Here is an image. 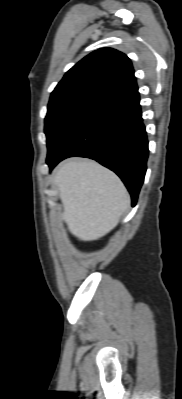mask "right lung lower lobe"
Segmentation results:
<instances>
[{"label":"right lung lower lobe","instance_id":"obj_1","mask_svg":"<svg viewBox=\"0 0 182 399\" xmlns=\"http://www.w3.org/2000/svg\"><path fill=\"white\" fill-rule=\"evenodd\" d=\"M139 101L137 89L106 101L77 121L48 149L50 169L67 157L94 159L122 179L135 206L149 152Z\"/></svg>","mask_w":182,"mask_h":399}]
</instances>
